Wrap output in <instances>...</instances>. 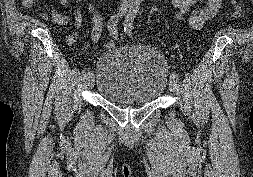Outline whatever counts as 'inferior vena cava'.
<instances>
[{
  "instance_id": "1",
  "label": "inferior vena cava",
  "mask_w": 253,
  "mask_h": 177,
  "mask_svg": "<svg viewBox=\"0 0 253 177\" xmlns=\"http://www.w3.org/2000/svg\"><path fill=\"white\" fill-rule=\"evenodd\" d=\"M121 1H122L121 2L122 6H127L130 3L131 0H121Z\"/></svg>"
}]
</instances>
